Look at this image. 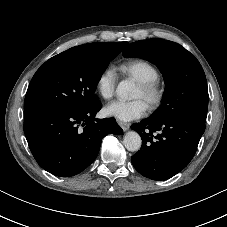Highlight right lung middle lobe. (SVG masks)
<instances>
[{
  "label": "right lung middle lobe",
  "mask_w": 227,
  "mask_h": 227,
  "mask_svg": "<svg viewBox=\"0 0 227 227\" xmlns=\"http://www.w3.org/2000/svg\"><path fill=\"white\" fill-rule=\"evenodd\" d=\"M120 43H105L97 52L70 48L47 60L34 74L24 101V117L54 108L95 104L97 84Z\"/></svg>",
  "instance_id": "right-lung-middle-lobe-1"
}]
</instances>
